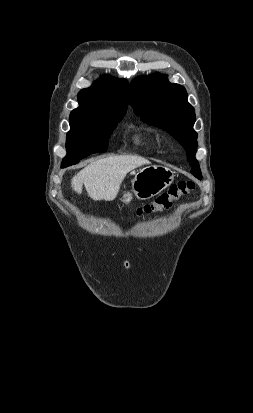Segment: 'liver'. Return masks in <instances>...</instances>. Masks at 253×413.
Wrapping results in <instances>:
<instances>
[{
    "instance_id": "1",
    "label": "liver",
    "mask_w": 253,
    "mask_h": 413,
    "mask_svg": "<svg viewBox=\"0 0 253 413\" xmlns=\"http://www.w3.org/2000/svg\"><path fill=\"white\" fill-rule=\"evenodd\" d=\"M150 161L140 156H111L91 162L79 171L71 180V186L78 194L84 184L90 198L95 201L113 200L120 189L125 176L131 170Z\"/></svg>"
}]
</instances>
